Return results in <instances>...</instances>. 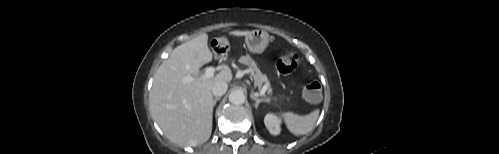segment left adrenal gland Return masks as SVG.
<instances>
[{"mask_svg": "<svg viewBox=\"0 0 499 154\" xmlns=\"http://www.w3.org/2000/svg\"><path fill=\"white\" fill-rule=\"evenodd\" d=\"M250 98L255 101V108L258 109V106L262 102H268V100L263 99V98H258L257 93L252 92L250 94Z\"/></svg>", "mask_w": 499, "mask_h": 154, "instance_id": "a2214340", "label": "left adrenal gland"}]
</instances>
